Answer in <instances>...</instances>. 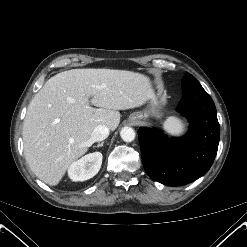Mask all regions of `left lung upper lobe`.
Instances as JSON below:
<instances>
[{
  "instance_id": "obj_1",
  "label": "left lung upper lobe",
  "mask_w": 247,
  "mask_h": 247,
  "mask_svg": "<svg viewBox=\"0 0 247 247\" xmlns=\"http://www.w3.org/2000/svg\"><path fill=\"white\" fill-rule=\"evenodd\" d=\"M192 78L194 77L191 74L185 73L183 80L192 79Z\"/></svg>"
}]
</instances>
